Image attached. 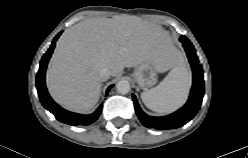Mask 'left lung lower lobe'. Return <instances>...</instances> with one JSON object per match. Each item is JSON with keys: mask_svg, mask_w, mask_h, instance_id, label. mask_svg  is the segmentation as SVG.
Masks as SVG:
<instances>
[{"mask_svg": "<svg viewBox=\"0 0 248 158\" xmlns=\"http://www.w3.org/2000/svg\"><path fill=\"white\" fill-rule=\"evenodd\" d=\"M187 53L193 72V86L187 103L175 113L164 117H151L146 115L138 105L135 95L133 96L134 107L142 124L148 128L157 130L174 129L189 122L198 112L204 95V80L202 66L199 64L194 46L185 36L180 37Z\"/></svg>", "mask_w": 248, "mask_h": 158, "instance_id": "left-lung-lower-lobe-1", "label": "left lung lower lobe"}]
</instances>
